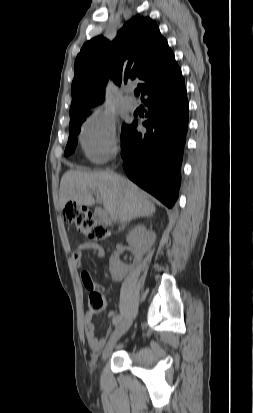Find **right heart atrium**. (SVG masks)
<instances>
[{"label":"right heart atrium","instance_id":"obj_1","mask_svg":"<svg viewBox=\"0 0 253 413\" xmlns=\"http://www.w3.org/2000/svg\"><path fill=\"white\" fill-rule=\"evenodd\" d=\"M80 143L91 163H105L117 152L114 118L103 112L91 114L83 124Z\"/></svg>","mask_w":253,"mask_h":413}]
</instances>
